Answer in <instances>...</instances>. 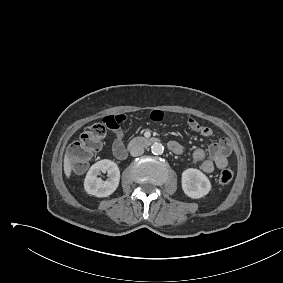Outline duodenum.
I'll use <instances>...</instances> for the list:
<instances>
[{
    "instance_id": "410a0bca",
    "label": "duodenum",
    "mask_w": 283,
    "mask_h": 283,
    "mask_svg": "<svg viewBox=\"0 0 283 283\" xmlns=\"http://www.w3.org/2000/svg\"><path fill=\"white\" fill-rule=\"evenodd\" d=\"M158 142V139L155 137H139V138H135L133 139L127 149H124L122 152V156L121 159H124L127 155V150L129 149H134V148H138V147H149L155 143Z\"/></svg>"
}]
</instances>
